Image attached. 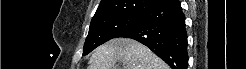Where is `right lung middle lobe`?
Segmentation results:
<instances>
[{"label": "right lung middle lobe", "instance_id": "obj_1", "mask_svg": "<svg viewBox=\"0 0 246 69\" xmlns=\"http://www.w3.org/2000/svg\"><path fill=\"white\" fill-rule=\"evenodd\" d=\"M141 20L142 14H120L92 20L84 44L83 55L90 53L108 40L118 37L139 24Z\"/></svg>", "mask_w": 246, "mask_h": 69}]
</instances>
